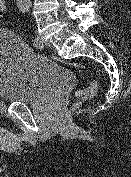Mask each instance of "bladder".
Here are the masks:
<instances>
[{
    "instance_id": "31cf9c89",
    "label": "bladder",
    "mask_w": 131,
    "mask_h": 177,
    "mask_svg": "<svg viewBox=\"0 0 131 177\" xmlns=\"http://www.w3.org/2000/svg\"><path fill=\"white\" fill-rule=\"evenodd\" d=\"M75 83L70 69L35 54L14 34L0 33V99L8 103L47 101Z\"/></svg>"
}]
</instances>
